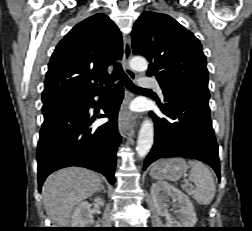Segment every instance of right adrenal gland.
<instances>
[{
  "label": "right adrenal gland",
  "mask_w": 252,
  "mask_h": 231,
  "mask_svg": "<svg viewBox=\"0 0 252 231\" xmlns=\"http://www.w3.org/2000/svg\"><path fill=\"white\" fill-rule=\"evenodd\" d=\"M100 190H103L104 192H106V190H105V188H104L103 185H101Z\"/></svg>",
  "instance_id": "2a0ac1e0"
}]
</instances>
